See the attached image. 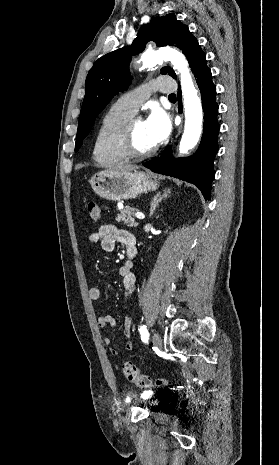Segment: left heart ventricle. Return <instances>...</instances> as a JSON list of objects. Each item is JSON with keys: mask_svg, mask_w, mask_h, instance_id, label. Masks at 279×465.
Instances as JSON below:
<instances>
[{"mask_svg": "<svg viewBox=\"0 0 279 465\" xmlns=\"http://www.w3.org/2000/svg\"><path fill=\"white\" fill-rule=\"evenodd\" d=\"M130 145L135 151H145L155 145L147 131L145 121L140 119L133 125Z\"/></svg>", "mask_w": 279, "mask_h": 465, "instance_id": "b2bd125f", "label": "left heart ventricle"}]
</instances>
